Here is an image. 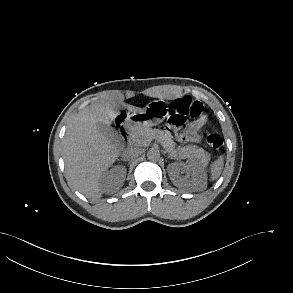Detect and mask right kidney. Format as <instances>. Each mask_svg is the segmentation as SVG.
<instances>
[{
    "label": "right kidney",
    "instance_id": "ca27d5eb",
    "mask_svg": "<svg viewBox=\"0 0 293 293\" xmlns=\"http://www.w3.org/2000/svg\"><path fill=\"white\" fill-rule=\"evenodd\" d=\"M125 177H126V169L122 166H114L113 169H111L108 172H105L101 176V182L108 183L113 181H119L121 186L125 180Z\"/></svg>",
    "mask_w": 293,
    "mask_h": 293
}]
</instances>
